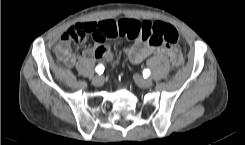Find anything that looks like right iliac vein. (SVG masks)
I'll return each mask as SVG.
<instances>
[{
    "label": "right iliac vein",
    "mask_w": 245,
    "mask_h": 145,
    "mask_svg": "<svg viewBox=\"0 0 245 145\" xmlns=\"http://www.w3.org/2000/svg\"><path fill=\"white\" fill-rule=\"evenodd\" d=\"M92 83H93L94 86H97V87L102 86V84H103L102 76H100V75L95 76L92 79Z\"/></svg>",
    "instance_id": "right-iliac-vein-1"
}]
</instances>
